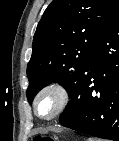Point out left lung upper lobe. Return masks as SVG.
<instances>
[{
  "instance_id": "left-lung-upper-lobe-1",
  "label": "left lung upper lobe",
  "mask_w": 119,
  "mask_h": 141,
  "mask_svg": "<svg viewBox=\"0 0 119 141\" xmlns=\"http://www.w3.org/2000/svg\"><path fill=\"white\" fill-rule=\"evenodd\" d=\"M119 12V0H53L38 23L27 66L29 102L51 82L71 96L79 87L95 46Z\"/></svg>"
}]
</instances>
